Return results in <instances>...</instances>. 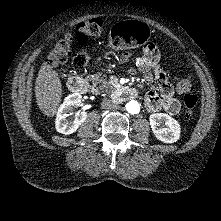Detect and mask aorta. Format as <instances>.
I'll return each instance as SVG.
<instances>
[{
    "label": "aorta",
    "instance_id": "obj_1",
    "mask_svg": "<svg viewBox=\"0 0 221 221\" xmlns=\"http://www.w3.org/2000/svg\"><path fill=\"white\" fill-rule=\"evenodd\" d=\"M126 110L130 114H138L140 112V104L135 100H131L126 104Z\"/></svg>",
    "mask_w": 221,
    "mask_h": 221
}]
</instances>
